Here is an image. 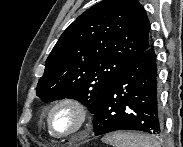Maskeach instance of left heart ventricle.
<instances>
[{
  "mask_svg": "<svg viewBox=\"0 0 183 147\" xmlns=\"http://www.w3.org/2000/svg\"><path fill=\"white\" fill-rule=\"evenodd\" d=\"M51 124L56 133H69L78 126L79 115L72 107L61 106L52 113Z\"/></svg>",
  "mask_w": 183,
  "mask_h": 147,
  "instance_id": "b2bd125f",
  "label": "left heart ventricle"
}]
</instances>
